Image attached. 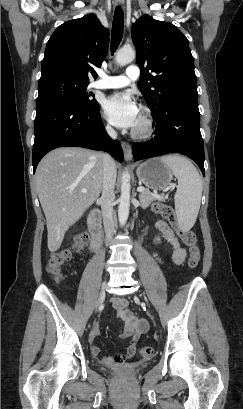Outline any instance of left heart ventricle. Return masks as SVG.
I'll return each mask as SVG.
<instances>
[{"mask_svg": "<svg viewBox=\"0 0 243 409\" xmlns=\"http://www.w3.org/2000/svg\"><path fill=\"white\" fill-rule=\"evenodd\" d=\"M141 126H142V123H141V113H140L138 116L137 123L134 128H140Z\"/></svg>", "mask_w": 243, "mask_h": 409, "instance_id": "b2bd125f", "label": "left heart ventricle"}]
</instances>
